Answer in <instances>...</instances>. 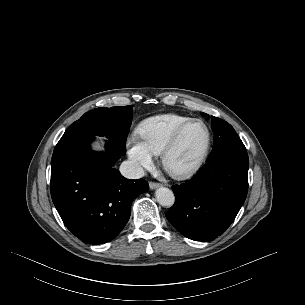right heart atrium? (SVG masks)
I'll list each match as a JSON object with an SVG mask.
<instances>
[{"label": "right heart atrium", "mask_w": 305, "mask_h": 305, "mask_svg": "<svg viewBox=\"0 0 305 305\" xmlns=\"http://www.w3.org/2000/svg\"><path fill=\"white\" fill-rule=\"evenodd\" d=\"M128 156L136 169L149 168L153 163L152 153L136 137L128 141Z\"/></svg>", "instance_id": "obj_1"}]
</instances>
